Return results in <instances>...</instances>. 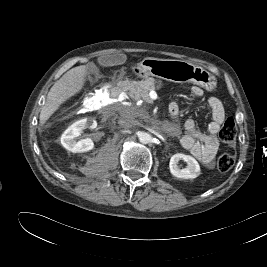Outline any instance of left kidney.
<instances>
[{
    "label": "left kidney",
    "mask_w": 267,
    "mask_h": 267,
    "mask_svg": "<svg viewBox=\"0 0 267 267\" xmlns=\"http://www.w3.org/2000/svg\"><path fill=\"white\" fill-rule=\"evenodd\" d=\"M181 159L187 163V167L183 169H180L177 165ZM169 169L173 176L181 179H194L200 175V165L196 159L190 155L181 153L175 154L171 157Z\"/></svg>",
    "instance_id": "left-kidney-1"
}]
</instances>
